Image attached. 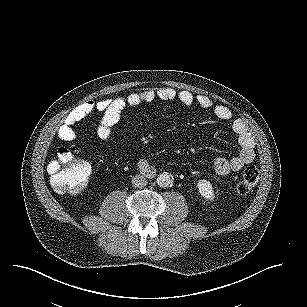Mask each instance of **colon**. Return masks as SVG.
I'll list each match as a JSON object with an SVG mask.
<instances>
[{
  "instance_id": "5ec220e1",
  "label": "colon",
  "mask_w": 307,
  "mask_h": 307,
  "mask_svg": "<svg viewBox=\"0 0 307 307\" xmlns=\"http://www.w3.org/2000/svg\"><path fill=\"white\" fill-rule=\"evenodd\" d=\"M53 189L60 194H80L88 186L91 170L83 157L68 148H60L48 167ZM259 170L248 166L239 177L236 189L241 194L249 193L257 184Z\"/></svg>"
}]
</instances>
